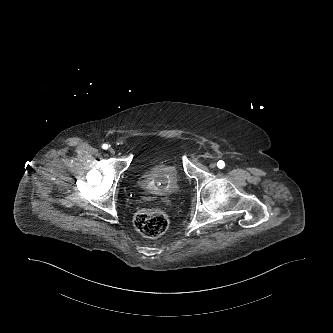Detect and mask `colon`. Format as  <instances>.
Instances as JSON below:
<instances>
[{
    "label": "colon",
    "instance_id": "colon-1",
    "mask_svg": "<svg viewBox=\"0 0 333 333\" xmlns=\"http://www.w3.org/2000/svg\"><path fill=\"white\" fill-rule=\"evenodd\" d=\"M167 214L159 209L141 210L134 217L135 228L144 236L155 238L162 235L168 228Z\"/></svg>",
    "mask_w": 333,
    "mask_h": 333
}]
</instances>
